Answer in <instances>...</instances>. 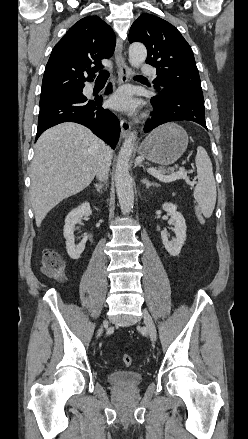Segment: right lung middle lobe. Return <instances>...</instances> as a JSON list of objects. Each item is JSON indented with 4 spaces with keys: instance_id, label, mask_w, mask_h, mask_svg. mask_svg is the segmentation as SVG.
I'll return each mask as SVG.
<instances>
[{
    "instance_id": "1",
    "label": "right lung middle lobe",
    "mask_w": 248,
    "mask_h": 439,
    "mask_svg": "<svg viewBox=\"0 0 248 439\" xmlns=\"http://www.w3.org/2000/svg\"><path fill=\"white\" fill-rule=\"evenodd\" d=\"M80 91H82V88L81 89H77V90H73V91H69V92H65V93H61V94L50 95V96H42L40 98V106H43V105H45L47 103H50L52 101H55L57 99H60V98H63V97H66V96H69V95H72V94H75V93L80 92Z\"/></svg>"
}]
</instances>
